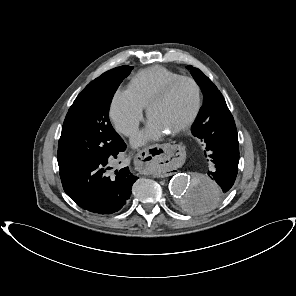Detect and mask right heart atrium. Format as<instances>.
<instances>
[{"label": "right heart atrium", "instance_id": "right-heart-atrium-1", "mask_svg": "<svg viewBox=\"0 0 296 296\" xmlns=\"http://www.w3.org/2000/svg\"><path fill=\"white\" fill-rule=\"evenodd\" d=\"M109 115L120 133L132 136L143 120V107L127 90H117L111 99Z\"/></svg>", "mask_w": 296, "mask_h": 296}]
</instances>
